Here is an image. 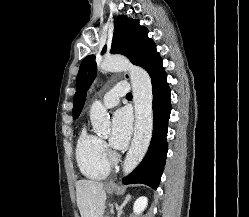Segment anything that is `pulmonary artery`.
I'll return each mask as SVG.
<instances>
[{"label": "pulmonary artery", "instance_id": "obj_1", "mask_svg": "<svg viewBox=\"0 0 249 217\" xmlns=\"http://www.w3.org/2000/svg\"><path fill=\"white\" fill-rule=\"evenodd\" d=\"M128 85L125 81L119 82L115 87L108 91L103 97V104L107 108L116 106L119 99L127 92Z\"/></svg>", "mask_w": 249, "mask_h": 217}]
</instances>
